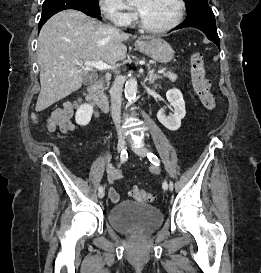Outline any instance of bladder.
<instances>
[{"label":"bladder","instance_id":"1","mask_svg":"<svg viewBox=\"0 0 261 273\" xmlns=\"http://www.w3.org/2000/svg\"><path fill=\"white\" fill-rule=\"evenodd\" d=\"M107 219L118 231L149 233L161 225L163 216L154 206L123 201L109 210Z\"/></svg>","mask_w":261,"mask_h":273}]
</instances>
